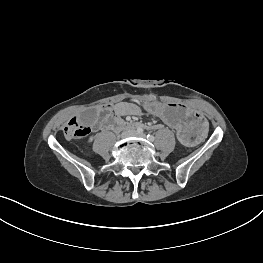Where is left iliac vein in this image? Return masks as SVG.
<instances>
[{"label":"left iliac vein","instance_id":"left-iliac-vein-1","mask_svg":"<svg viewBox=\"0 0 263 263\" xmlns=\"http://www.w3.org/2000/svg\"><path fill=\"white\" fill-rule=\"evenodd\" d=\"M138 136H139V137H141V138H146V135H145V134H143V133H141V134H138Z\"/></svg>","mask_w":263,"mask_h":263}]
</instances>
